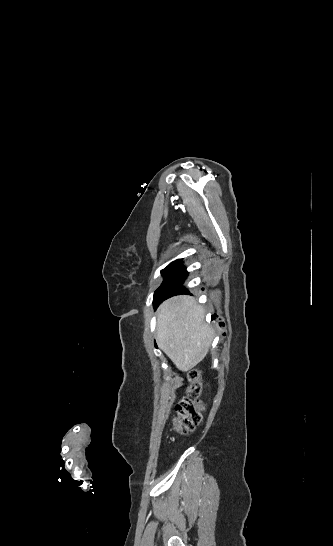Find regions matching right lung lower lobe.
Instances as JSON below:
<instances>
[{
  "instance_id": "1",
  "label": "right lung lower lobe",
  "mask_w": 333,
  "mask_h": 546,
  "mask_svg": "<svg viewBox=\"0 0 333 546\" xmlns=\"http://www.w3.org/2000/svg\"><path fill=\"white\" fill-rule=\"evenodd\" d=\"M182 261V260H181ZM181 261L171 268L164 276V281L154 293V304L157 307L164 299L174 295L188 294L183 283L188 276L187 270L181 266Z\"/></svg>"
}]
</instances>
